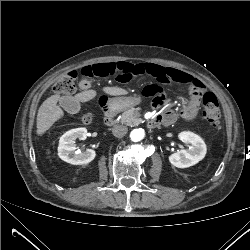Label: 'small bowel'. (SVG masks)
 <instances>
[{
	"label": "small bowel",
	"instance_id": "obj_1",
	"mask_svg": "<svg viewBox=\"0 0 250 250\" xmlns=\"http://www.w3.org/2000/svg\"><path fill=\"white\" fill-rule=\"evenodd\" d=\"M143 65L146 68L147 72L158 77L161 82L163 83L175 82L178 84L186 85L193 90V94L195 96L194 100L190 102L182 111V117L184 119L193 118L197 112L198 99L204 93L200 81L184 72L175 69L165 68L154 63H147ZM165 101H166L165 93L163 91H160L158 93V97L153 99V108H154L153 116H158L164 125L170 126L176 121V114L171 110L168 111L161 110L163 105L165 104Z\"/></svg>",
	"mask_w": 250,
	"mask_h": 250
}]
</instances>
